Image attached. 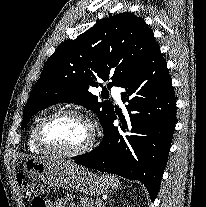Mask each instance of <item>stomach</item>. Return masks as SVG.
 I'll return each instance as SVG.
<instances>
[{
	"label": "stomach",
	"mask_w": 206,
	"mask_h": 207,
	"mask_svg": "<svg viewBox=\"0 0 206 207\" xmlns=\"http://www.w3.org/2000/svg\"><path fill=\"white\" fill-rule=\"evenodd\" d=\"M24 171L51 187H69L87 195L98 196L113 187L112 181L99 177L80 166L66 165L51 158H29L23 163Z\"/></svg>",
	"instance_id": "obj_1"
}]
</instances>
